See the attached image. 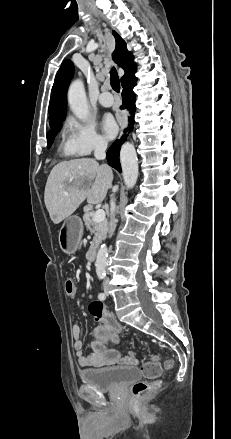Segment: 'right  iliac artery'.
I'll return each mask as SVG.
<instances>
[{
    "label": "right iliac artery",
    "instance_id": "82829eb1",
    "mask_svg": "<svg viewBox=\"0 0 231 439\" xmlns=\"http://www.w3.org/2000/svg\"><path fill=\"white\" fill-rule=\"evenodd\" d=\"M98 298H99L100 300H105V298H106L105 293H100V294L98 295Z\"/></svg>",
    "mask_w": 231,
    "mask_h": 439
}]
</instances>
